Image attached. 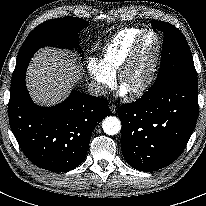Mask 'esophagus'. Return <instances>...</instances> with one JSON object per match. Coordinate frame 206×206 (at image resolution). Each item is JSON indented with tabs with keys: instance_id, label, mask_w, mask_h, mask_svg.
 <instances>
[{
	"instance_id": "obj_1",
	"label": "esophagus",
	"mask_w": 206,
	"mask_h": 206,
	"mask_svg": "<svg viewBox=\"0 0 206 206\" xmlns=\"http://www.w3.org/2000/svg\"><path fill=\"white\" fill-rule=\"evenodd\" d=\"M110 111H111V113L115 114L117 112V106L112 104L110 106Z\"/></svg>"
}]
</instances>
